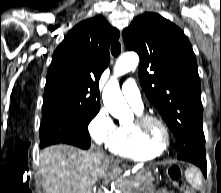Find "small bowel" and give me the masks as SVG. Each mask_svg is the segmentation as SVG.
I'll return each instance as SVG.
<instances>
[{
  "label": "small bowel",
  "instance_id": "small-bowel-1",
  "mask_svg": "<svg viewBox=\"0 0 221 193\" xmlns=\"http://www.w3.org/2000/svg\"><path fill=\"white\" fill-rule=\"evenodd\" d=\"M156 193H174V192H173V191H169V190L162 189V190L157 191Z\"/></svg>",
  "mask_w": 221,
  "mask_h": 193
}]
</instances>
